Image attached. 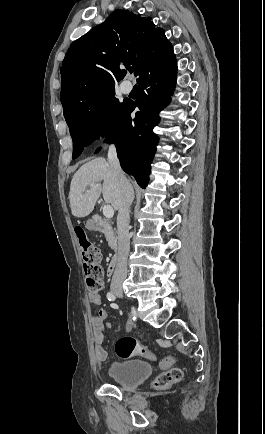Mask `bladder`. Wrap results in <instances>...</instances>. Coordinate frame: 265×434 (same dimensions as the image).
Masks as SVG:
<instances>
[{
  "label": "bladder",
  "instance_id": "obj_1",
  "mask_svg": "<svg viewBox=\"0 0 265 434\" xmlns=\"http://www.w3.org/2000/svg\"><path fill=\"white\" fill-rule=\"evenodd\" d=\"M151 373L150 364L141 360L115 362L108 370L109 377L125 390L136 389Z\"/></svg>",
  "mask_w": 265,
  "mask_h": 434
}]
</instances>
